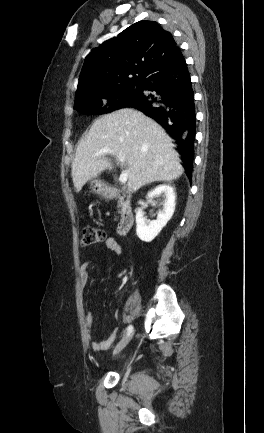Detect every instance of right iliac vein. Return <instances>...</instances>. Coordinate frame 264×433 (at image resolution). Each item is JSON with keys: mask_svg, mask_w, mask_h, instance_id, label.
I'll return each mask as SVG.
<instances>
[{"mask_svg": "<svg viewBox=\"0 0 264 433\" xmlns=\"http://www.w3.org/2000/svg\"><path fill=\"white\" fill-rule=\"evenodd\" d=\"M130 339H131V335H129L126 338L122 339L117 344V346L115 347V349L113 351V355L115 356V355L119 354L126 347V345L128 344V342L130 341Z\"/></svg>", "mask_w": 264, "mask_h": 433, "instance_id": "obj_1", "label": "right iliac vein"}]
</instances>
